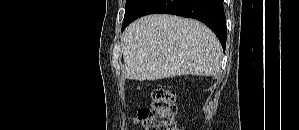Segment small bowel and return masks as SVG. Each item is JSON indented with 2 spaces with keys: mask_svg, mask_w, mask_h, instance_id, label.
Wrapping results in <instances>:
<instances>
[{
  "mask_svg": "<svg viewBox=\"0 0 299 130\" xmlns=\"http://www.w3.org/2000/svg\"><path fill=\"white\" fill-rule=\"evenodd\" d=\"M133 121H134L135 123H137V122H138V120H137V119H133Z\"/></svg>",
  "mask_w": 299,
  "mask_h": 130,
  "instance_id": "c3829d8e",
  "label": "small bowel"
}]
</instances>
